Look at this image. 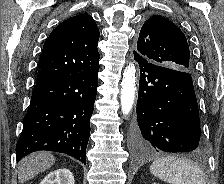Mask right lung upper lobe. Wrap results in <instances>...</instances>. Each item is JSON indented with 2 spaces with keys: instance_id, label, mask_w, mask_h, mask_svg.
Segmentation results:
<instances>
[{
  "instance_id": "obj_1",
  "label": "right lung upper lobe",
  "mask_w": 224,
  "mask_h": 184,
  "mask_svg": "<svg viewBox=\"0 0 224 184\" xmlns=\"http://www.w3.org/2000/svg\"><path fill=\"white\" fill-rule=\"evenodd\" d=\"M99 35L94 19L87 14H79L60 23L43 46L36 82L99 66Z\"/></svg>"
}]
</instances>
